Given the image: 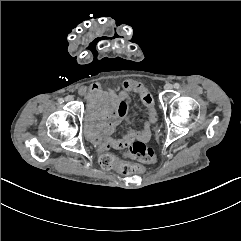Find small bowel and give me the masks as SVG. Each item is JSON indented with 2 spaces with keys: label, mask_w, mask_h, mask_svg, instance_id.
Listing matches in <instances>:
<instances>
[{
  "label": "small bowel",
  "mask_w": 241,
  "mask_h": 241,
  "mask_svg": "<svg viewBox=\"0 0 241 241\" xmlns=\"http://www.w3.org/2000/svg\"><path fill=\"white\" fill-rule=\"evenodd\" d=\"M131 91L139 93L146 109V120L139 129H129L122 137H113L120 123H129L132 119L129 114ZM81 93L86 95L92 121L88 137L100 150H126L135 142L149 141L157 112L151 93L142 84L128 80L119 93L111 89L102 90L98 84H93L88 89H82Z\"/></svg>",
  "instance_id": "c3829d8e"
}]
</instances>
